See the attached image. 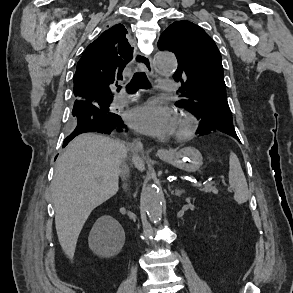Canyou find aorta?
<instances>
[{"instance_id": "obj_1", "label": "aorta", "mask_w": 293, "mask_h": 293, "mask_svg": "<svg viewBox=\"0 0 293 293\" xmlns=\"http://www.w3.org/2000/svg\"><path fill=\"white\" fill-rule=\"evenodd\" d=\"M176 58L170 52L158 51L155 54V67L159 73H171L176 68ZM143 203L149 219L158 224L162 218V196L157 186L147 185L142 194Z\"/></svg>"}]
</instances>
